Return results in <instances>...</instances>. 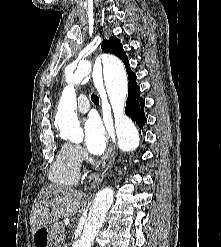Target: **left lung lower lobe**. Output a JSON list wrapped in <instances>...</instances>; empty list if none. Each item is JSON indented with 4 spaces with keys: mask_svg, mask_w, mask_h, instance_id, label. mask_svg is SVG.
Segmentation results:
<instances>
[{
    "mask_svg": "<svg viewBox=\"0 0 221 247\" xmlns=\"http://www.w3.org/2000/svg\"><path fill=\"white\" fill-rule=\"evenodd\" d=\"M144 100L140 97V88L136 83V75L129 78L128 98L125 113L142 129L146 123Z\"/></svg>",
    "mask_w": 221,
    "mask_h": 247,
    "instance_id": "0a47b994",
    "label": "left lung lower lobe"
}]
</instances>
